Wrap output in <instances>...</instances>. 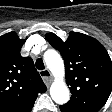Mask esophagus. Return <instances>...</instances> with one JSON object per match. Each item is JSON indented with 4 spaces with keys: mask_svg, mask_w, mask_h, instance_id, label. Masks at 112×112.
<instances>
[{
    "mask_svg": "<svg viewBox=\"0 0 112 112\" xmlns=\"http://www.w3.org/2000/svg\"><path fill=\"white\" fill-rule=\"evenodd\" d=\"M40 75H41V78H42V80L44 81V83H45L47 86H49L50 83H51V81H52V76H51V74H50V71L47 70V69L42 70V71L40 72Z\"/></svg>",
    "mask_w": 112,
    "mask_h": 112,
    "instance_id": "34e87169",
    "label": "esophagus"
}]
</instances>
